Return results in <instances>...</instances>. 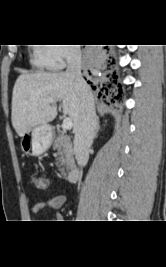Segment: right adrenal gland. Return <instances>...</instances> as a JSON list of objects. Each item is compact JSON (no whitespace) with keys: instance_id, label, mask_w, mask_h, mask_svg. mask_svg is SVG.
I'll return each instance as SVG.
<instances>
[{"instance_id":"2a0ac1e0","label":"right adrenal gland","mask_w":166,"mask_h":267,"mask_svg":"<svg viewBox=\"0 0 166 267\" xmlns=\"http://www.w3.org/2000/svg\"><path fill=\"white\" fill-rule=\"evenodd\" d=\"M100 130V125H99V118L98 116L96 117V130H95V137L97 136L98 131Z\"/></svg>"}]
</instances>
